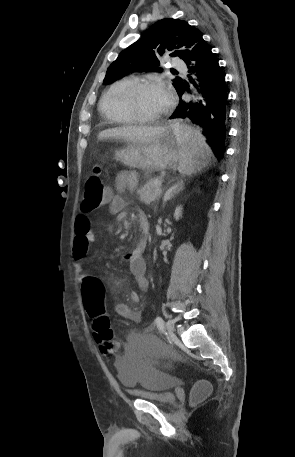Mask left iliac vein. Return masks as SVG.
I'll use <instances>...</instances> for the list:
<instances>
[{"label": "left iliac vein", "instance_id": "4c4485c4", "mask_svg": "<svg viewBox=\"0 0 295 457\" xmlns=\"http://www.w3.org/2000/svg\"><path fill=\"white\" fill-rule=\"evenodd\" d=\"M165 328H166V330H167L169 335H173L174 334L175 325H174V322L172 320H167L166 321Z\"/></svg>", "mask_w": 295, "mask_h": 457}]
</instances>
